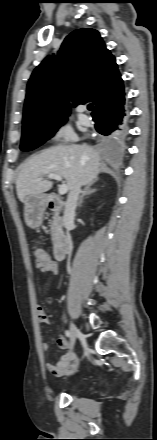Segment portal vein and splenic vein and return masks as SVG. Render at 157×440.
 <instances>
[{"instance_id":"18ae733b","label":"portal vein and splenic vein","mask_w":157,"mask_h":440,"mask_svg":"<svg viewBox=\"0 0 157 440\" xmlns=\"http://www.w3.org/2000/svg\"><path fill=\"white\" fill-rule=\"evenodd\" d=\"M47 177L49 178V179H55V180H58V181H62V176H60V175H58V174H48L47 175ZM42 178H39L37 181H40ZM67 191H68V186H67V184H65L64 182L59 186V190H58V192H59V194L60 195H64V194H66L67 193Z\"/></svg>"}]
</instances>
